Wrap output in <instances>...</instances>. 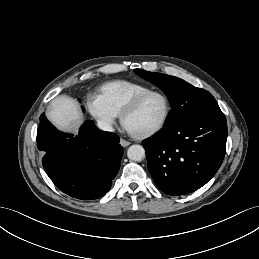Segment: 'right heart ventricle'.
Returning <instances> with one entry per match:
<instances>
[{
  "mask_svg": "<svg viewBox=\"0 0 259 259\" xmlns=\"http://www.w3.org/2000/svg\"><path fill=\"white\" fill-rule=\"evenodd\" d=\"M149 90L138 82L115 80L101 86L99 97L114 115H120L132 99Z\"/></svg>",
  "mask_w": 259,
  "mask_h": 259,
  "instance_id": "e07e8e85",
  "label": "right heart ventricle"
}]
</instances>
